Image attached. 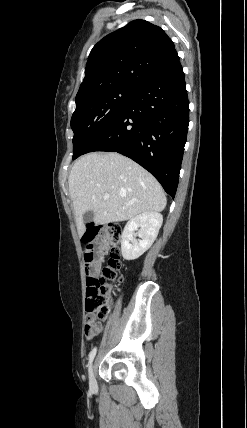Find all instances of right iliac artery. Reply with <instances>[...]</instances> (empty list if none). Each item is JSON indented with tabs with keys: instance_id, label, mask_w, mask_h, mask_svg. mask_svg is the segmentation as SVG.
Masks as SVG:
<instances>
[{
	"instance_id": "1",
	"label": "right iliac artery",
	"mask_w": 247,
	"mask_h": 428,
	"mask_svg": "<svg viewBox=\"0 0 247 428\" xmlns=\"http://www.w3.org/2000/svg\"><path fill=\"white\" fill-rule=\"evenodd\" d=\"M96 351H97V348L95 347L94 349H92V351L89 353V363L91 364L92 363V361H93V359H94V357H95V355H96Z\"/></svg>"
}]
</instances>
